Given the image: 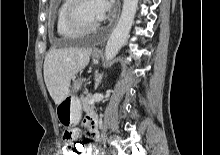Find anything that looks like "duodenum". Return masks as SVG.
<instances>
[{
    "instance_id": "1",
    "label": "duodenum",
    "mask_w": 220,
    "mask_h": 155,
    "mask_svg": "<svg viewBox=\"0 0 220 155\" xmlns=\"http://www.w3.org/2000/svg\"><path fill=\"white\" fill-rule=\"evenodd\" d=\"M90 132L93 136H96L97 135V132H98V128L96 125H93L90 129Z\"/></svg>"
}]
</instances>
